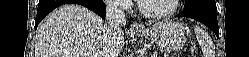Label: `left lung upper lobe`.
<instances>
[{"label": "left lung upper lobe", "mask_w": 249, "mask_h": 57, "mask_svg": "<svg viewBox=\"0 0 249 57\" xmlns=\"http://www.w3.org/2000/svg\"><path fill=\"white\" fill-rule=\"evenodd\" d=\"M189 1H191V0H185V3H186V2H189Z\"/></svg>", "instance_id": "left-lung-upper-lobe-1"}]
</instances>
